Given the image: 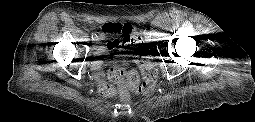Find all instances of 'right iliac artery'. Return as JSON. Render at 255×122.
Returning a JSON list of instances; mask_svg holds the SVG:
<instances>
[{
  "instance_id": "1",
  "label": "right iliac artery",
  "mask_w": 255,
  "mask_h": 122,
  "mask_svg": "<svg viewBox=\"0 0 255 122\" xmlns=\"http://www.w3.org/2000/svg\"><path fill=\"white\" fill-rule=\"evenodd\" d=\"M91 37L94 40L95 38H97V35L95 33H91Z\"/></svg>"
}]
</instances>
